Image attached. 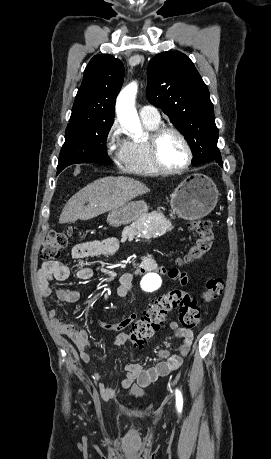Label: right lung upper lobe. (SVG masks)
Instances as JSON below:
<instances>
[{
    "label": "right lung upper lobe",
    "instance_id": "right-lung-upper-lobe-1",
    "mask_svg": "<svg viewBox=\"0 0 271 459\" xmlns=\"http://www.w3.org/2000/svg\"><path fill=\"white\" fill-rule=\"evenodd\" d=\"M123 78L122 61L107 54L94 56L84 71L71 117H114L115 99L122 87Z\"/></svg>",
    "mask_w": 271,
    "mask_h": 459
}]
</instances>
